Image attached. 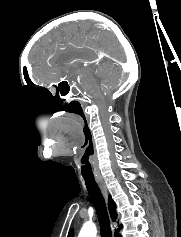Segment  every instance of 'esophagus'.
<instances>
[{
	"instance_id": "esophagus-1",
	"label": "esophagus",
	"mask_w": 181,
	"mask_h": 237,
	"mask_svg": "<svg viewBox=\"0 0 181 237\" xmlns=\"http://www.w3.org/2000/svg\"><path fill=\"white\" fill-rule=\"evenodd\" d=\"M97 182H98V184H99V186H100V189H101V191H102L104 197L107 199V197H108V192H107V188H106V186H105L103 180H102V179H97Z\"/></svg>"
}]
</instances>
